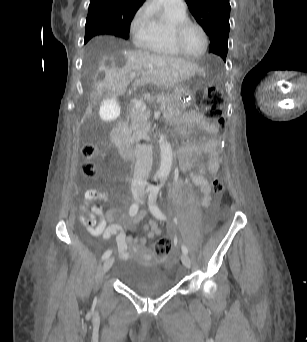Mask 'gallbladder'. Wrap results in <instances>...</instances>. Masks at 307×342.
Returning a JSON list of instances; mask_svg holds the SVG:
<instances>
[{
	"label": "gallbladder",
	"mask_w": 307,
	"mask_h": 342,
	"mask_svg": "<svg viewBox=\"0 0 307 342\" xmlns=\"http://www.w3.org/2000/svg\"><path fill=\"white\" fill-rule=\"evenodd\" d=\"M119 99H104L100 105L104 123H113L114 118H119Z\"/></svg>",
	"instance_id": "obj_1"
}]
</instances>
